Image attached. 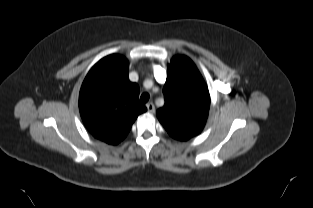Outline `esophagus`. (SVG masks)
<instances>
[{"label": "esophagus", "mask_w": 313, "mask_h": 208, "mask_svg": "<svg viewBox=\"0 0 313 208\" xmlns=\"http://www.w3.org/2000/svg\"><path fill=\"white\" fill-rule=\"evenodd\" d=\"M146 107H147V110H148L150 113H154V112H155V106H154V104H153L152 102L148 103V104L146 105Z\"/></svg>", "instance_id": "1"}]
</instances>
